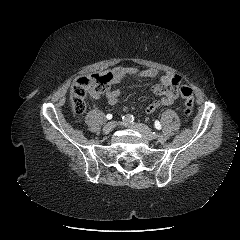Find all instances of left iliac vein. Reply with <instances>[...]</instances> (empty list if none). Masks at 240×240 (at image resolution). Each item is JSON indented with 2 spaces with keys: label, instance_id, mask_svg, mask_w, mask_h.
Returning a JSON list of instances; mask_svg holds the SVG:
<instances>
[{
  "label": "left iliac vein",
  "instance_id": "obj_1",
  "mask_svg": "<svg viewBox=\"0 0 240 240\" xmlns=\"http://www.w3.org/2000/svg\"><path fill=\"white\" fill-rule=\"evenodd\" d=\"M124 125L126 127H129L131 129H134V130L138 131L147 140L151 141V140L156 138V135L152 132V130L148 126H146L144 124H141V123H132V124L125 123Z\"/></svg>",
  "mask_w": 240,
  "mask_h": 240
}]
</instances>
